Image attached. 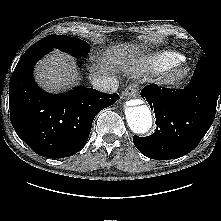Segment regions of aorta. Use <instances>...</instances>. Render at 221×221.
Masks as SVG:
<instances>
[{"mask_svg": "<svg viewBox=\"0 0 221 221\" xmlns=\"http://www.w3.org/2000/svg\"><path fill=\"white\" fill-rule=\"evenodd\" d=\"M129 128L136 134H145L152 127V115L147 105L125 107Z\"/></svg>", "mask_w": 221, "mask_h": 221, "instance_id": "aorta-1", "label": "aorta"}]
</instances>
